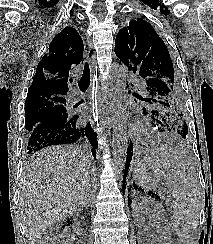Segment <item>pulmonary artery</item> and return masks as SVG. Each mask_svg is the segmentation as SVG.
Instances as JSON below:
<instances>
[{"label":"pulmonary artery","mask_w":213,"mask_h":244,"mask_svg":"<svg viewBox=\"0 0 213 244\" xmlns=\"http://www.w3.org/2000/svg\"><path fill=\"white\" fill-rule=\"evenodd\" d=\"M80 97H81V93L79 91H73L71 93V99H72V101H77V100L80 99Z\"/></svg>","instance_id":"obj_1"}]
</instances>
